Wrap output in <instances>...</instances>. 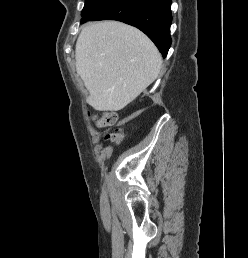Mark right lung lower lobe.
<instances>
[{"mask_svg": "<svg viewBox=\"0 0 248 258\" xmlns=\"http://www.w3.org/2000/svg\"><path fill=\"white\" fill-rule=\"evenodd\" d=\"M171 0H116L90 20H117L135 26L157 46L162 56L171 45ZM89 20H84L86 22Z\"/></svg>", "mask_w": 248, "mask_h": 258, "instance_id": "98d812e1", "label": "right lung lower lobe"}]
</instances>
